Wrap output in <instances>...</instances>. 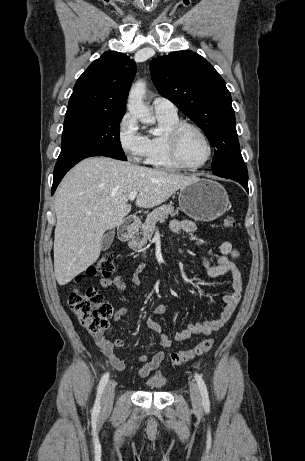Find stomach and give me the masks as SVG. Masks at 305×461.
Segmentation results:
<instances>
[{
	"label": "stomach",
	"instance_id": "0dacf381",
	"mask_svg": "<svg viewBox=\"0 0 305 461\" xmlns=\"http://www.w3.org/2000/svg\"><path fill=\"white\" fill-rule=\"evenodd\" d=\"M179 205L185 214L196 221H212L226 212L229 198L219 183L197 178L180 188Z\"/></svg>",
	"mask_w": 305,
	"mask_h": 461
}]
</instances>
